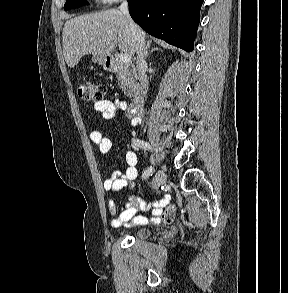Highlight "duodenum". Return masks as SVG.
I'll return each instance as SVG.
<instances>
[{
    "mask_svg": "<svg viewBox=\"0 0 288 293\" xmlns=\"http://www.w3.org/2000/svg\"><path fill=\"white\" fill-rule=\"evenodd\" d=\"M107 67L110 71L116 72L119 70V64L114 58H108L107 59ZM145 103V94L141 90H137L133 102H132V108L139 112Z\"/></svg>",
    "mask_w": 288,
    "mask_h": 293,
    "instance_id": "duodenum-1",
    "label": "duodenum"
}]
</instances>
